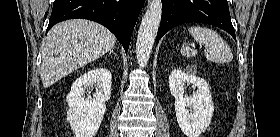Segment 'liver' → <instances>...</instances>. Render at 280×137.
Wrapping results in <instances>:
<instances>
[{
    "instance_id": "liver-1",
    "label": "liver",
    "mask_w": 280,
    "mask_h": 137,
    "mask_svg": "<svg viewBox=\"0 0 280 137\" xmlns=\"http://www.w3.org/2000/svg\"><path fill=\"white\" fill-rule=\"evenodd\" d=\"M116 44V37L104 26L85 19L55 25L42 49L41 80L50 87L62 77L96 60Z\"/></svg>"
}]
</instances>
